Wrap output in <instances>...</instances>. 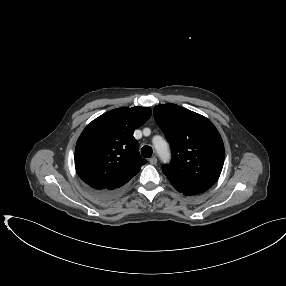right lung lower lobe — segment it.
Here are the masks:
<instances>
[{"label": "right lung lower lobe", "mask_w": 286, "mask_h": 286, "mask_svg": "<svg viewBox=\"0 0 286 286\" xmlns=\"http://www.w3.org/2000/svg\"><path fill=\"white\" fill-rule=\"evenodd\" d=\"M88 190L94 196H96L98 198H102V199L110 198L112 196L117 195L120 192V191H114V192L100 191V190H96V189H93V188H90V187H88Z\"/></svg>", "instance_id": "1"}]
</instances>
